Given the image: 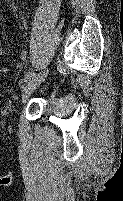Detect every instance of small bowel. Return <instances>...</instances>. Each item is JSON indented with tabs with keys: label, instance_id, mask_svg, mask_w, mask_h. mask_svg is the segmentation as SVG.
I'll list each match as a JSON object with an SVG mask.
<instances>
[{
	"label": "small bowel",
	"instance_id": "small-bowel-1",
	"mask_svg": "<svg viewBox=\"0 0 123 201\" xmlns=\"http://www.w3.org/2000/svg\"><path fill=\"white\" fill-rule=\"evenodd\" d=\"M2 55H3V48L0 45V58H1ZM27 57H28V54H27V52L25 50L20 51L19 55H18L19 62L14 64V65H12V66H6V67H1L0 66V74L4 73V72H7V71H10V70H16V71L22 70L23 66H24V62L26 61Z\"/></svg>",
	"mask_w": 123,
	"mask_h": 201
}]
</instances>
